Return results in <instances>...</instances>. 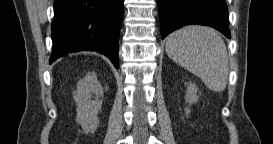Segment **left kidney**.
<instances>
[{
  "label": "left kidney",
  "instance_id": "left-kidney-1",
  "mask_svg": "<svg viewBox=\"0 0 273 144\" xmlns=\"http://www.w3.org/2000/svg\"><path fill=\"white\" fill-rule=\"evenodd\" d=\"M199 89L196 86L195 83H189L187 85V92H186V102L189 103V105L196 103L198 101L199 96L197 95ZM190 113V109H186V114L188 115Z\"/></svg>",
  "mask_w": 273,
  "mask_h": 144
}]
</instances>
